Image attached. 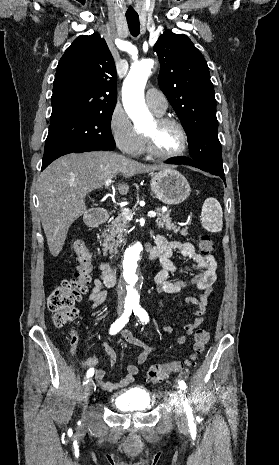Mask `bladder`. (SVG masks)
<instances>
[{
    "mask_svg": "<svg viewBox=\"0 0 279 465\" xmlns=\"http://www.w3.org/2000/svg\"><path fill=\"white\" fill-rule=\"evenodd\" d=\"M111 403L121 412H147L153 405V398L147 389L132 386L115 394Z\"/></svg>",
    "mask_w": 279,
    "mask_h": 465,
    "instance_id": "obj_1",
    "label": "bladder"
}]
</instances>
